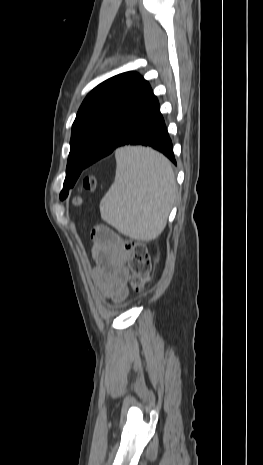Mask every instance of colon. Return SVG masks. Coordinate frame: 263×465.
<instances>
[{
    "instance_id": "1",
    "label": "colon",
    "mask_w": 263,
    "mask_h": 465,
    "mask_svg": "<svg viewBox=\"0 0 263 465\" xmlns=\"http://www.w3.org/2000/svg\"><path fill=\"white\" fill-rule=\"evenodd\" d=\"M96 186V178L92 175L86 176L82 182L81 190L93 191ZM124 252L129 257L130 287L135 292H142L149 282L151 274V259L148 248L141 242L128 241L124 246Z\"/></svg>"
}]
</instances>
